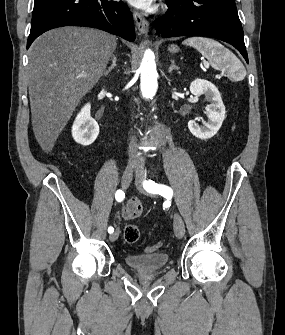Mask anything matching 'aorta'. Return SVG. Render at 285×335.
I'll return each mask as SVG.
<instances>
[{
    "mask_svg": "<svg viewBox=\"0 0 285 335\" xmlns=\"http://www.w3.org/2000/svg\"><path fill=\"white\" fill-rule=\"evenodd\" d=\"M141 74L140 90L138 96L145 98V102H160V95H157L158 90V74L155 64L154 52L146 50L143 60L139 68ZM155 130H146V137H151L154 144L157 146V141H163L164 137H169V130H160V126H155Z\"/></svg>",
    "mask_w": 285,
    "mask_h": 335,
    "instance_id": "762f6f07",
    "label": "aorta"
}]
</instances>
